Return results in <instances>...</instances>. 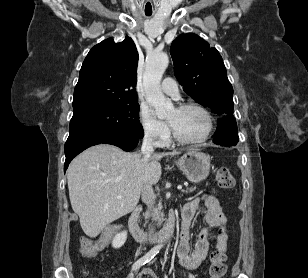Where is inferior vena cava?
Instances as JSON below:
<instances>
[{"mask_svg":"<svg viewBox=\"0 0 308 278\" xmlns=\"http://www.w3.org/2000/svg\"><path fill=\"white\" fill-rule=\"evenodd\" d=\"M154 152V147H153V137L151 134H146L142 147H141V153L145 158H149L151 154ZM154 192L152 189L151 185H145L144 188L142 189V200L147 204V206L151 209L154 205ZM153 228L150 229V233L152 234Z\"/></svg>","mask_w":308,"mask_h":278,"instance_id":"602c4592","label":"inferior vena cava"}]
</instances>
